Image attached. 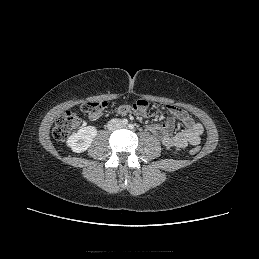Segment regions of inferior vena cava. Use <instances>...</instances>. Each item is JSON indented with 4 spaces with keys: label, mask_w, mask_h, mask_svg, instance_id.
Listing matches in <instances>:
<instances>
[{
    "label": "inferior vena cava",
    "mask_w": 259,
    "mask_h": 259,
    "mask_svg": "<svg viewBox=\"0 0 259 259\" xmlns=\"http://www.w3.org/2000/svg\"><path fill=\"white\" fill-rule=\"evenodd\" d=\"M122 127V123L119 119H112L109 121L108 128L110 130H115Z\"/></svg>",
    "instance_id": "1"
}]
</instances>
